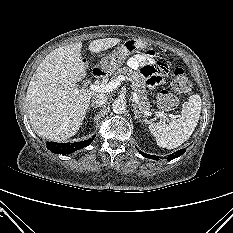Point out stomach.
Returning a JSON list of instances; mask_svg holds the SVG:
<instances>
[{
    "instance_id": "stomach-1",
    "label": "stomach",
    "mask_w": 233,
    "mask_h": 233,
    "mask_svg": "<svg viewBox=\"0 0 233 233\" xmlns=\"http://www.w3.org/2000/svg\"><path fill=\"white\" fill-rule=\"evenodd\" d=\"M147 48V43L141 39H128L114 53L104 57L100 62V68L104 72H114L134 53Z\"/></svg>"
}]
</instances>
